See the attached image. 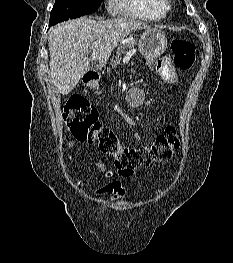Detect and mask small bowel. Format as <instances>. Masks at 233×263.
<instances>
[{
	"label": "small bowel",
	"instance_id": "obj_1",
	"mask_svg": "<svg viewBox=\"0 0 233 263\" xmlns=\"http://www.w3.org/2000/svg\"><path fill=\"white\" fill-rule=\"evenodd\" d=\"M153 70L158 72L162 79L168 84H175L178 81V75L169 59V57H163L153 67ZM73 146V142L71 140L67 141V148L70 151ZM69 163H71V155L70 152L68 154ZM96 169L98 173H106L107 176H111L112 173L107 171V166L104 162H99L96 165ZM119 175H128L122 174L119 172ZM124 188L122 187L119 181H112L107 185L101 187L96 191V194L100 196H108L110 200L116 201L120 199L124 195Z\"/></svg>",
	"mask_w": 233,
	"mask_h": 263
}]
</instances>
